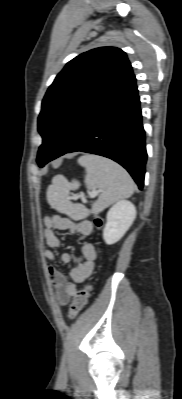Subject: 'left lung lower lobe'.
<instances>
[{"mask_svg":"<svg viewBox=\"0 0 182 399\" xmlns=\"http://www.w3.org/2000/svg\"><path fill=\"white\" fill-rule=\"evenodd\" d=\"M76 151L118 162L143 188L147 153L136 79L105 102L59 156Z\"/></svg>","mask_w":182,"mask_h":399,"instance_id":"obj_1","label":"left lung lower lobe"}]
</instances>
